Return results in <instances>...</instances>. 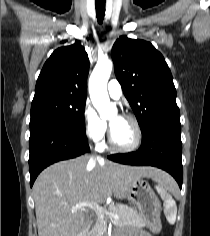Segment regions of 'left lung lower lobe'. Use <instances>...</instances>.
I'll use <instances>...</instances> for the list:
<instances>
[{
    "label": "left lung lower lobe",
    "instance_id": "obj_1",
    "mask_svg": "<svg viewBox=\"0 0 210 236\" xmlns=\"http://www.w3.org/2000/svg\"><path fill=\"white\" fill-rule=\"evenodd\" d=\"M142 144L136 152L108 156L127 165H150L170 173L182 187V143L180 119H161L143 131Z\"/></svg>",
    "mask_w": 210,
    "mask_h": 236
}]
</instances>
